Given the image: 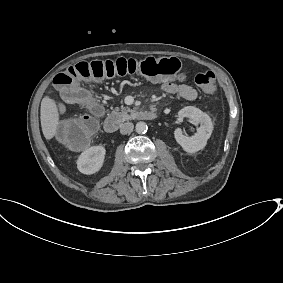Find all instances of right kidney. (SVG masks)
Segmentation results:
<instances>
[{
	"instance_id": "ca27d5eb",
	"label": "right kidney",
	"mask_w": 283,
	"mask_h": 283,
	"mask_svg": "<svg viewBox=\"0 0 283 283\" xmlns=\"http://www.w3.org/2000/svg\"><path fill=\"white\" fill-rule=\"evenodd\" d=\"M103 146H92L81 153L77 160V168L83 174H93L100 170L105 157Z\"/></svg>"
}]
</instances>
